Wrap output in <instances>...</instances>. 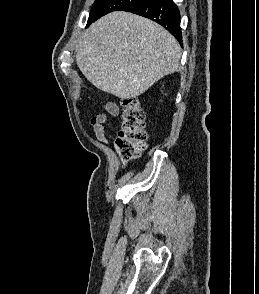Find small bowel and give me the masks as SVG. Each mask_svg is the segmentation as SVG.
<instances>
[{
    "instance_id": "small-bowel-1",
    "label": "small bowel",
    "mask_w": 259,
    "mask_h": 294,
    "mask_svg": "<svg viewBox=\"0 0 259 294\" xmlns=\"http://www.w3.org/2000/svg\"><path fill=\"white\" fill-rule=\"evenodd\" d=\"M106 113H100L96 116H94L90 120V124L93 128V131L95 133V136L98 141L102 143H106V135H105V125L108 121L109 116H118L119 114V107L116 103L114 102H109L106 105Z\"/></svg>"
}]
</instances>
